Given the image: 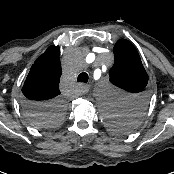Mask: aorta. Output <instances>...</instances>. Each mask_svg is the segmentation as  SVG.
Segmentation results:
<instances>
[{"label":"aorta","instance_id":"1","mask_svg":"<svg viewBox=\"0 0 174 174\" xmlns=\"http://www.w3.org/2000/svg\"><path fill=\"white\" fill-rule=\"evenodd\" d=\"M114 95L113 88L108 85H100L96 90L99 105L108 116L120 113V110L116 107Z\"/></svg>","mask_w":174,"mask_h":174}]
</instances>
